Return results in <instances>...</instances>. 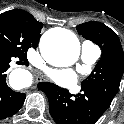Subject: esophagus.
Here are the masks:
<instances>
[{
	"mask_svg": "<svg viewBox=\"0 0 124 124\" xmlns=\"http://www.w3.org/2000/svg\"><path fill=\"white\" fill-rule=\"evenodd\" d=\"M36 81H42L41 77H37Z\"/></svg>",
	"mask_w": 124,
	"mask_h": 124,
	"instance_id": "1",
	"label": "esophagus"
}]
</instances>
